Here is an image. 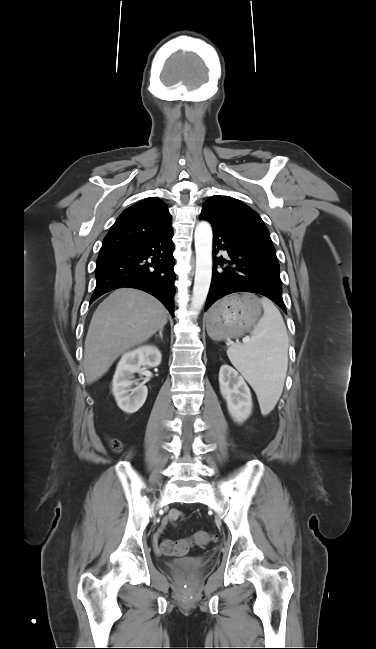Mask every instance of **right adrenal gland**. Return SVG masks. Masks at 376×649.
I'll list each match as a JSON object with an SVG mask.
<instances>
[{
  "mask_svg": "<svg viewBox=\"0 0 376 649\" xmlns=\"http://www.w3.org/2000/svg\"><path fill=\"white\" fill-rule=\"evenodd\" d=\"M155 337H160L161 339H163V328L160 329L159 334H156Z\"/></svg>",
  "mask_w": 376,
  "mask_h": 649,
  "instance_id": "1",
  "label": "right adrenal gland"
}]
</instances>
